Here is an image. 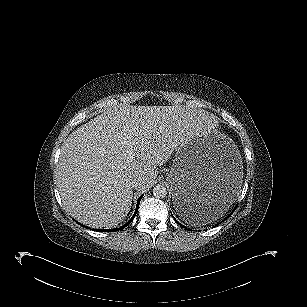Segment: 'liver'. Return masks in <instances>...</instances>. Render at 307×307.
Segmentation results:
<instances>
[{
  "mask_svg": "<svg viewBox=\"0 0 307 307\" xmlns=\"http://www.w3.org/2000/svg\"><path fill=\"white\" fill-rule=\"evenodd\" d=\"M215 123L205 111L173 106L122 105L104 111L73 131L61 147L56 180L63 206L89 227L117 226L132 206L129 182L139 179L138 190H148L157 166Z\"/></svg>",
  "mask_w": 307,
  "mask_h": 307,
  "instance_id": "liver-1",
  "label": "liver"
}]
</instances>
